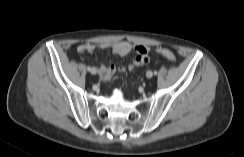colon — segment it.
<instances>
[{"instance_id": "colon-1", "label": "colon", "mask_w": 244, "mask_h": 157, "mask_svg": "<svg viewBox=\"0 0 244 157\" xmlns=\"http://www.w3.org/2000/svg\"><path fill=\"white\" fill-rule=\"evenodd\" d=\"M158 53L160 55H162L163 57H165L166 59L170 60V61H175L176 60V56L175 54L168 50V49H159ZM138 63H147L149 60V57L147 55V52L144 50H140L137 52L135 58H134Z\"/></svg>"}]
</instances>
